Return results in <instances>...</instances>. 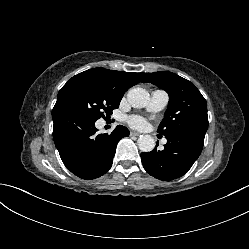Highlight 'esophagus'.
Returning <instances> with one entry per match:
<instances>
[{"label":"esophagus","mask_w":249,"mask_h":249,"mask_svg":"<svg viewBox=\"0 0 249 249\" xmlns=\"http://www.w3.org/2000/svg\"><path fill=\"white\" fill-rule=\"evenodd\" d=\"M130 135H131V136H139L140 133H138V132H136V131H131V132H130Z\"/></svg>","instance_id":"esophagus-1"}]
</instances>
